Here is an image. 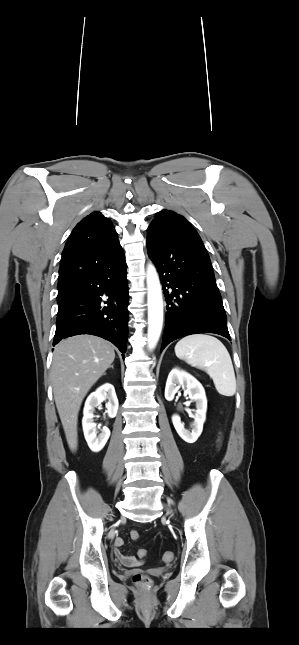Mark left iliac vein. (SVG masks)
<instances>
[{"mask_svg": "<svg viewBox=\"0 0 299 645\" xmlns=\"http://www.w3.org/2000/svg\"><path fill=\"white\" fill-rule=\"evenodd\" d=\"M167 514H172V509L169 506H165Z\"/></svg>", "mask_w": 299, "mask_h": 645, "instance_id": "obj_1", "label": "left iliac vein"}]
</instances>
